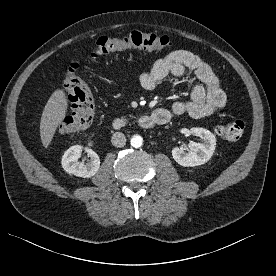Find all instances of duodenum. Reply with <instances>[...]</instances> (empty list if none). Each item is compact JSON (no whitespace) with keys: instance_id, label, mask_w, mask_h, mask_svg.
I'll return each mask as SVG.
<instances>
[{"instance_id":"duodenum-1","label":"duodenum","mask_w":276,"mask_h":276,"mask_svg":"<svg viewBox=\"0 0 276 276\" xmlns=\"http://www.w3.org/2000/svg\"><path fill=\"white\" fill-rule=\"evenodd\" d=\"M170 119L167 111L156 110L151 115H142L138 118V125L143 129H151L158 125L166 124ZM128 125V120L125 117H117L113 120L115 129H124Z\"/></svg>"}]
</instances>
